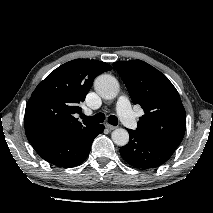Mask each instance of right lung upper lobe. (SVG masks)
I'll return each instance as SVG.
<instances>
[{"mask_svg":"<svg viewBox=\"0 0 213 213\" xmlns=\"http://www.w3.org/2000/svg\"><path fill=\"white\" fill-rule=\"evenodd\" d=\"M112 67L102 61L75 59L69 61L38 84L25 110V133L29 142L63 141L95 123L79 122L73 115L85 100L93 80Z\"/></svg>","mask_w":213,"mask_h":213,"instance_id":"1","label":"right lung upper lobe"}]
</instances>
